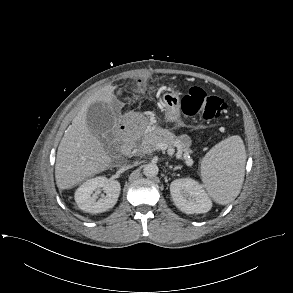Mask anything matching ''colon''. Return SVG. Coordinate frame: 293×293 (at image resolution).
<instances>
[{"instance_id": "1", "label": "colon", "mask_w": 293, "mask_h": 293, "mask_svg": "<svg viewBox=\"0 0 293 293\" xmlns=\"http://www.w3.org/2000/svg\"><path fill=\"white\" fill-rule=\"evenodd\" d=\"M227 109L226 102L215 95L208 94L203 88H189L182 99V110L187 116H197L204 120L219 118Z\"/></svg>"}]
</instances>
